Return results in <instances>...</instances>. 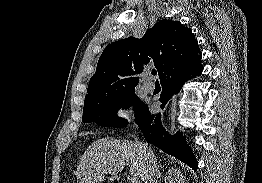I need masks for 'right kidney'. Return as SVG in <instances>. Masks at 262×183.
Masks as SVG:
<instances>
[{
  "label": "right kidney",
  "mask_w": 262,
  "mask_h": 183,
  "mask_svg": "<svg viewBox=\"0 0 262 183\" xmlns=\"http://www.w3.org/2000/svg\"><path fill=\"white\" fill-rule=\"evenodd\" d=\"M165 183H184V177L179 170L172 169L165 177Z\"/></svg>",
  "instance_id": "1"
}]
</instances>
